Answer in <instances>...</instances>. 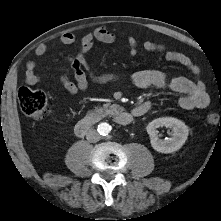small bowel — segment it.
I'll use <instances>...</instances> for the list:
<instances>
[{"label":"small bowel","instance_id":"c3829d8e","mask_svg":"<svg viewBox=\"0 0 221 221\" xmlns=\"http://www.w3.org/2000/svg\"><path fill=\"white\" fill-rule=\"evenodd\" d=\"M116 40L117 35L105 27L96 28L93 32L82 36L79 40L77 53L69 55L66 58L72 68L74 81L67 75L59 76V81L64 89L70 94L75 95L86 91L89 86V81L99 84L118 81L120 76L116 73H96L87 59V54L97 42L114 43ZM59 41L64 45H72L76 42V37L74 34L66 32L59 37ZM142 47L147 52L162 53L167 61L184 66L196 79L191 80L183 76L171 77L159 70H145L136 72L131 76V82L136 87H156L179 93L181 96L178 103L184 110L204 109L209 105L210 97L206 92L203 82L199 80L200 69L190 57L184 53L169 50L164 44L158 42L145 41ZM138 48V41L130 37L128 39L129 56L132 58L135 57L138 53ZM47 51L48 46L42 43L36 47L35 54L40 57L45 55ZM25 82L29 85H36L40 82V76L36 73V62L33 60L28 61L25 65ZM137 107L134 108L133 112H136Z\"/></svg>","mask_w":221,"mask_h":221}]
</instances>
